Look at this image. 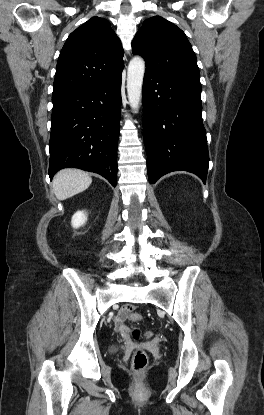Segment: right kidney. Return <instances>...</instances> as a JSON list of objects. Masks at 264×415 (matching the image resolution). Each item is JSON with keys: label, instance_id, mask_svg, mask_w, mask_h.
<instances>
[{"label": "right kidney", "instance_id": "obj_1", "mask_svg": "<svg viewBox=\"0 0 264 415\" xmlns=\"http://www.w3.org/2000/svg\"><path fill=\"white\" fill-rule=\"evenodd\" d=\"M87 221V215L84 211L76 212L71 220V224L74 228H79L85 224Z\"/></svg>", "mask_w": 264, "mask_h": 415}]
</instances>
